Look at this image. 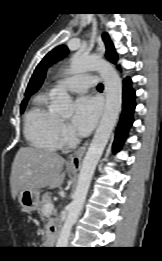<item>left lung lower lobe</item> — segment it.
I'll use <instances>...</instances> for the list:
<instances>
[{
	"label": "left lung lower lobe",
	"mask_w": 162,
	"mask_h": 261,
	"mask_svg": "<svg viewBox=\"0 0 162 261\" xmlns=\"http://www.w3.org/2000/svg\"><path fill=\"white\" fill-rule=\"evenodd\" d=\"M135 91L131 87V79H124L123 88V110L120 117V123L116 130L115 141L113 144V150L118 151L125 138L127 137L128 130L133 123V112L135 110Z\"/></svg>",
	"instance_id": "obj_1"
}]
</instances>
